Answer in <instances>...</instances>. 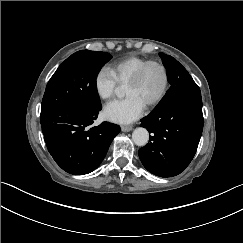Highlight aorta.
<instances>
[{
    "label": "aorta",
    "mask_w": 243,
    "mask_h": 243,
    "mask_svg": "<svg viewBox=\"0 0 243 243\" xmlns=\"http://www.w3.org/2000/svg\"><path fill=\"white\" fill-rule=\"evenodd\" d=\"M116 97L118 99H123L125 97V92L122 87L116 88ZM132 140L136 146L143 147L149 141V133L144 128H137L132 133Z\"/></svg>",
    "instance_id": "762f6f07"
}]
</instances>
